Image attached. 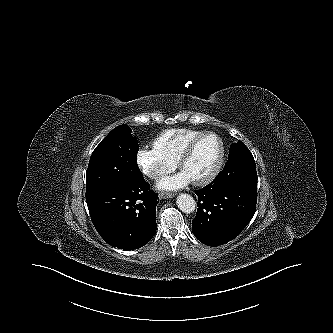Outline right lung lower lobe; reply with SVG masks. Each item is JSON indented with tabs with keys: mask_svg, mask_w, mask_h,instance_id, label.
I'll return each mask as SVG.
<instances>
[{
	"mask_svg": "<svg viewBox=\"0 0 333 333\" xmlns=\"http://www.w3.org/2000/svg\"><path fill=\"white\" fill-rule=\"evenodd\" d=\"M98 233L111 246L134 250L155 234L158 193L140 178L86 197Z\"/></svg>",
	"mask_w": 333,
	"mask_h": 333,
	"instance_id": "98d812e1",
	"label": "right lung lower lobe"
}]
</instances>
